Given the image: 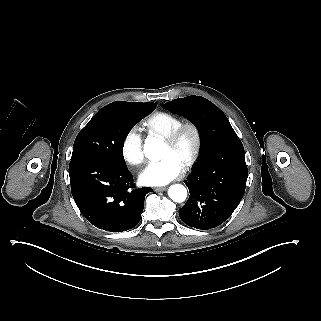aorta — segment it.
Here are the masks:
<instances>
[{"mask_svg":"<svg viewBox=\"0 0 321 321\" xmlns=\"http://www.w3.org/2000/svg\"><path fill=\"white\" fill-rule=\"evenodd\" d=\"M163 142L157 138H147L144 144L145 156L151 160H157L160 156V150ZM169 197L178 203L184 202L187 197V190L181 184L172 185L168 190Z\"/></svg>","mask_w":321,"mask_h":321,"instance_id":"obj_1","label":"aorta"}]
</instances>
